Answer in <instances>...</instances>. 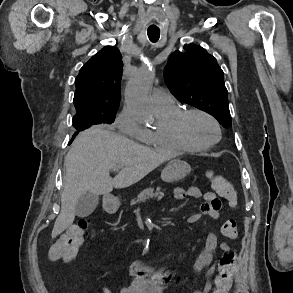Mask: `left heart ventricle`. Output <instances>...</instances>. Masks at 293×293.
<instances>
[{
  "instance_id": "left-heart-ventricle-1",
  "label": "left heart ventricle",
  "mask_w": 293,
  "mask_h": 293,
  "mask_svg": "<svg viewBox=\"0 0 293 293\" xmlns=\"http://www.w3.org/2000/svg\"><path fill=\"white\" fill-rule=\"evenodd\" d=\"M186 138L193 144L203 145L216 138L214 125L204 116L198 114L189 115L184 122Z\"/></svg>"
}]
</instances>
